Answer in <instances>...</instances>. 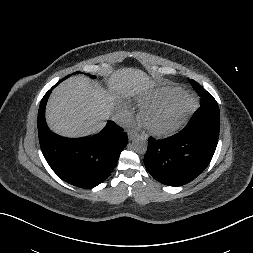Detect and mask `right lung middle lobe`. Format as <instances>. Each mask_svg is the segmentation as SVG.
<instances>
[{"mask_svg": "<svg viewBox=\"0 0 253 253\" xmlns=\"http://www.w3.org/2000/svg\"><path fill=\"white\" fill-rule=\"evenodd\" d=\"M78 72H75L74 74H76ZM70 75L66 76L65 78H63L61 81H63L64 79L68 78ZM92 78H96L95 76H91ZM61 81H59L58 83H60Z\"/></svg>", "mask_w": 253, "mask_h": 253, "instance_id": "1", "label": "right lung middle lobe"}]
</instances>
